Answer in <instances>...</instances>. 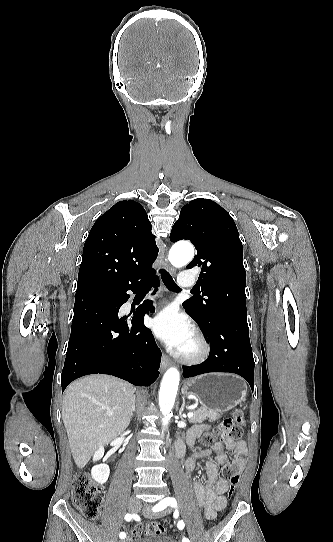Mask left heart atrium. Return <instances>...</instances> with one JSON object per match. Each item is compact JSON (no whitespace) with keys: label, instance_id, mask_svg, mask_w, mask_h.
Segmentation results:
<instances>
[{"label":"left heart atrium","instance_id":"1","mask_svg":"<svg viewBox=\"0 0 333 542\" xmlns=\"http://www.w3.org/2000/svg\"><path fill=\"white\" fill-rule=\"evenodd\" d=\"M151 326L173 353H180L195 333L191 319L174 305L161 310L152 320Z\"/></svg>","mask_w":333,"mask_h":542}]
</instances>
